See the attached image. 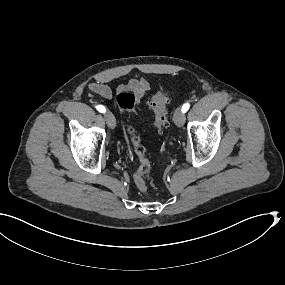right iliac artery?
Returning a JSON list of instances; mask_svg holds the SVG:
<instances>
[{
  "label": "right iliac artery",
  "mask_w": 285,
  "mask_h": 285,
  "mask_svg": "<svg viewBox=\"0 0 285 285\" xmlns=\"http://www.w3.org/2000/svg\"><path fill=\"white\" fill-rule=\"evenodd\" d=\"M97 110L100 112V113H105L106 112V109L103 105H98L97 107Z\"/></svg>",
  "instance_id": "1"
}]
</instances>
